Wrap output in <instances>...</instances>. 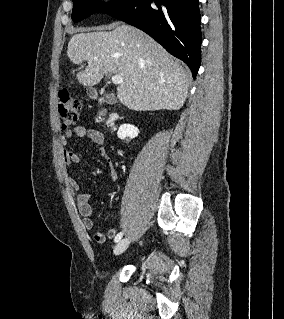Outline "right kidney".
I'll use <instances>...</instances> for the list:
<instances>
[{"instance_id":"obj_1","label":"right kidney","mask_w":284,"mask_h":319,"mask_svg":"<svg viewBox=\"0 0 284 319\" xmlns=\"http://www.w3.org/2000/svg\"><path fill=\"white\" fill-rule=\"evenodd\" d=\"M139 134V130L137 127H135L134 125L131 124H122L117 132V136L120 139H126V138H130L133 139L135 137H137Z\"/></svg>"}]
</instances>
